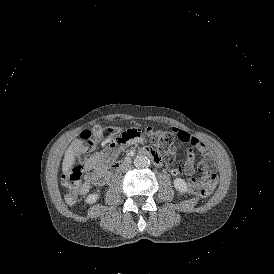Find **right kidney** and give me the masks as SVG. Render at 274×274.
I'll list each match as a JSON object with an SVG mask.
<instances>
[{
    "label": "right kidney",
    "instance_id": "1",
    "mask_svg": "<svg viewBox=\"0 0 274 274\" xmlns=\"http://www.w3.org/2000/svg\"><path fill=\"white\" fill-rule=\"evenodd\" d=\"M98 198V194H94L88 198L89 202H95Z\"/></svg>",
    "mask_w": 274,
    "mask_h": 274
}]
</instances>
